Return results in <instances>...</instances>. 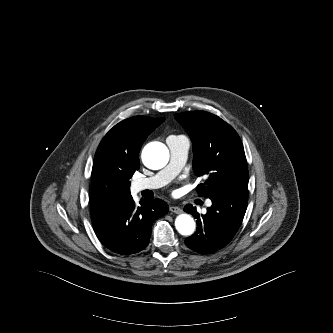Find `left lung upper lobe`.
<instances>
[{
    "instance_id": "obj_1",
    "label": "left lung upper lobe",
    "mask_w": 333,
    "mask_h": 333,
    "mask_svg": "<svg viewBox=\"0 0 333 333\" xmlns=\"http://www.w3.org/2000/svg\"><path fill=\"white\" fill-rule=\"evenodd\" d=\"M193 142V170L207 180L196 187L199 196L248 189V168L236 131L216 115L190 111L175 115Z\"/></svg>"
}]
</instances>
